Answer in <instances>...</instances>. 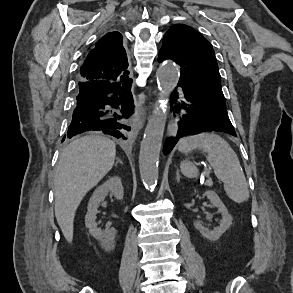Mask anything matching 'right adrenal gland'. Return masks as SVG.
Wrapping results in <instances>:
<instances>
[{"label": "right adrenal gland", "mask_w": 293, "mask_h": 293, "mask_svg": "<svg viewBox=\"0 0 293 293\" xmlns=\"http://www.w3.org/2000/svg\"><path fill=\"white\" fill-rule=\"evenodd\" d=\"M118 163L123 164V162L119 158H117L115 166H117Z\"/></svg>", "instance_id": "obj_1"}]
</instances>
